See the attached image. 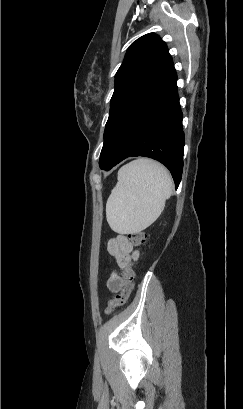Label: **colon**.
<instances>
[{"instance_id":"1","label":"colon","mask_w":243,"mask_h":409,"mask_svg":"<svg viewBox=\"0 0 243 409\" xmlns=\"http://www.w3.org/2000/svg\"><path fill=\"white\" fill-rule=\"evenodd\" d=\"M127 237L132 245L141 246L146 242L147 234L144 230H136L129 232ZM121 278V292L107 304L105 309L107 315L112 314L116 308L123 306L127 302L133 288V265L126 266L123 269Z\"/></svg>"}]
</instances>
